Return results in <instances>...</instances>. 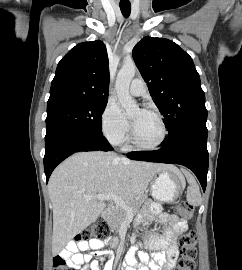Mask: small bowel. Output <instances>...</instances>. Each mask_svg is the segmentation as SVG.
Listing matches in <instances>:
<instances>
[{"label":"small bowel","instance_id":"small-bowel-1","mask_svg":"<svg viewBox=\"0 0 242 270\" xmlns=\"http://www.w3.org/2000/svg\"><path fill=\"white\" fill-rule=\"evenodd\" d=\"M151 215L159 216L160 221L165 225V231L160 236L144 239V246L153 250L152 259L146 252H139L138 258L143 264H138L134 253H127L124 258V270H173L178 261L177 238L187 230V222L173 214L161 213L160 207L152 204L149 207ZM148 216L142 214L137 218L138 223L144 222ZM107 244L102 240H91L89 242H70L60 252L71 270H101L97 256L108 257L102 270H112L113 261L110 253L101 251Z\"/></svg>","mask_w":242,"mask_h":270}]
</instances>
